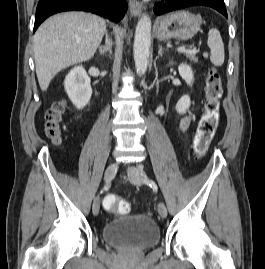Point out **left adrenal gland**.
<instances>
[{
  "label": "left adrenal gland",
  "mask_w": 265,
  "mask_h": 269,
  "mask_svg": "<svg viewBox=\"0 0 265 269\" xmlns=\"http://www.w3.org/2000/svg\"><path fill=\"white\" fill-rule=\"evenodd\" d=\"M163 50H166V49H164L163 47H162V45H159V51H158V55H162V53H163Z\"/></svg>",
  "instance_id": "1"
}]
</instances>
